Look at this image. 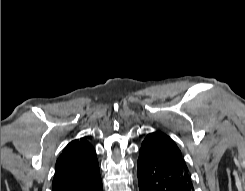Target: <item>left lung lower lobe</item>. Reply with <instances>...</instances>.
Instances as JSON below:
<instances>
[{"instance_id":"0a47b994","label":"left lung lower lobe","mask_w":245,"mask_h":191,"mask_svg":"<svg viewBox=\"0 0 245 191\" xmlns=\"http://www.w3.org/2000/svg\"><path fill=\"white\" fill-rule=\"evenodd\" d=\"M139 191H194L190 174L182 168L139 150Z\"/></svg>"}]
</instances>
